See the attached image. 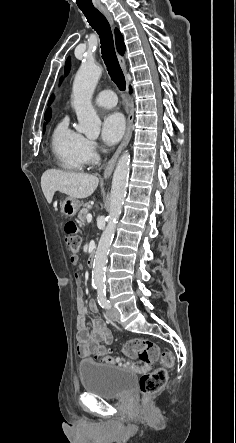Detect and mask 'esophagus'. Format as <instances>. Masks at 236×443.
Returning <instances> with one entry per match:
<instances>
[{"instance_id":"esophagus-1","label":"esophagus","mask_w":236,"mask_h":443,"mask_svg":"<svg viewBox=\"0 0 236 443\" xmlns=\"http://www.w3.org/2000/svg\"><path fill=\"white\" fill-rule=\"evenodd\" d=\"M99 10L107 18L109 23L113 26V18L111 16V14L108 12V10L103 6L99 7ZM118 60H119L121 67L123 68V70H126L124 58L121 55H118ZM133 119H134V109L132 108L130 110V113H129L128 119H127L126 134H125L121 144L119 145V147L117 148V150L115 151V153L113 154V156L111 157V159L109 160V162L105 168V171H104V178L105 179H107L111 176L120 153L128 145V143L131 139Z\"/></svg>"}]
</instances>
